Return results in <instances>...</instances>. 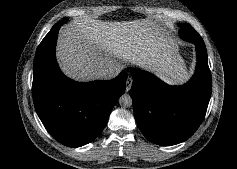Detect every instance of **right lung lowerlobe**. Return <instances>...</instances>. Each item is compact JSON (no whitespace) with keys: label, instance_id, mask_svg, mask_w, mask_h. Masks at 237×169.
<instances>
[{"label":"right lung lower lobe","instance_id":"right-lung-lower-lobe-1","mask_svg":"<svg viewBox=\"0 0 237 169\" xmlns=\"http://www.w3.org/2000/svg\"><path fill=\"white\" fill-rule=\"evenodd\" d=\"M51 30L37 48L33 68V101L47 131L60 143L80 147L93 141L125 91L127 73L108 81L75 82L60 71Z\"/></svg>","mask_w":237,"mask_h":169}]
</instances>
